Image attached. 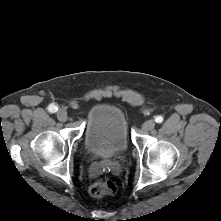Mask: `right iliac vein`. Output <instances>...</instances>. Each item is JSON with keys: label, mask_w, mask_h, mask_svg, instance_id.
<instances>
[{"label": "right iliac vein", "mask_w": 221, "mask_h": 221, "mask_svg": "<svg viewBox=\"0 0 221 221\" xmlns=\"http://www.w3.org/2000/svg\"><path fill=\"white\" fill-rule=\"evenodd\" d=\"M67 112L64 110V109H59L57 111V118L60 120V121H66L67 120Z\"/></svg>", "instance_id": "obj_1"}]
</instances>
